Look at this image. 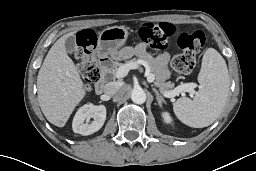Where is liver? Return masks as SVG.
I'll return each instance as SVG.
<instances>
[{
  "mask_svg": "<svg viewBox=\"0 0 256 171\" xmlns=\"http://www.w3.org/2000/svg\"><path fill=\"white\" fill-rule=\"evenodd\" d=\"M76 31L59 38L49 50L37 77L38 102L46 119L64 127L86 88L65 50V41Z\"/></svg>",
  "mask_w": 256,
  "mask_h": 171,
  "instance_id": "1",
  "label": "liver"
}]
</instances>
